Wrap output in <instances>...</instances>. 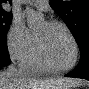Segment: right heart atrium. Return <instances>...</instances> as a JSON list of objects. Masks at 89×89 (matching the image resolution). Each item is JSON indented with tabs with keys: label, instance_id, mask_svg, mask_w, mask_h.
I'll return each mask as SVG.
<instances>
[{
	"label": "right heart atrium",
	"instance_id": "obj_1",
	"mask_svg": "<svg viewBox=\"0 0 89 89\" xmlns=\"http://www.w3.org/2000/svg\"><path fill=\"white\" fill-rule=\"evenodd\" d=\"M35 49V37L20 18L15 17L7 35V50L18 62L28 57Z\"/></svg>",
	"mask_w": 89,
	"mask_h": 89
}]
</instances>
